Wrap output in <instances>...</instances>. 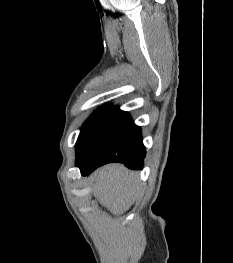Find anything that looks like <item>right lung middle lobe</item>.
I'll use <instances>...</instances> for the list:
<instances>
[{
	"mask_svg": "<svg viewBox=\"0 0 233 263\" xmlns=\"http://www.w3.org/2000/svg\"><path fill=\"white\" fill-rule=\"evenodd\" d=\"M111 108H112L111 106L106 105L101 107L95 113H93L81 128V132L78 137V140L86 136L102 120V118L108 113V111Z\"/></svg>",
	"mask_w": 233,
	"mask_h": 263,
	"instance_id": "obj_1",
	"label": "right lung middle lobe"
}]
</instances>
